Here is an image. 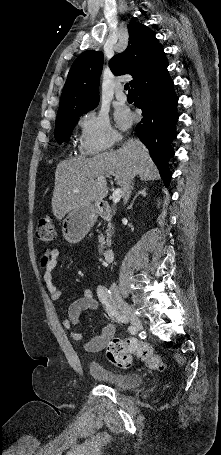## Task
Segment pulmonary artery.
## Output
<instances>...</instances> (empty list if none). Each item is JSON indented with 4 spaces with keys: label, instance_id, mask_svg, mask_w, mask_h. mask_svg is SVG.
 Segmentation results:
<instances>
[{
    "label": "pulmonary artery",
    "instance_id": "1",
    "mask_svg": "<svg viewBox=\"0 0 221 455\" xmlns=\"http://www.w3.org/2000/svg\"><path fill=\"white\" fill-rule=\"evenodd\" d=\"M115 98L120 103H124L127 100V96L123 92V87L121 85H119L115 88Z\"/></svg>",
    "mask_w": 221,
    "mask_h": 455
}]
</instances>
